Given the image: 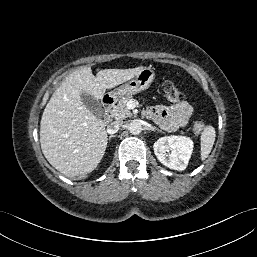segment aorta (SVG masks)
I'll list each match as a JSON object with an SVG mask.
<instances>
[{
	"label": "aorta",
	"mask_w": 257,
	"mask_h": 257,
	"mask_svg": "<svg viewBox=\"0 0 257 257\" xmlns=\"http://www.w3.org/2000/svg\"><path fill=\"white\" fill-rule=\"evenodd\" d=\"M128 129H129L130 133L137 135V134L141 133L142 125L138 120H133L130 122Z\"/></svg>",
	"instance_id": "aorta-1"
}]
</instances>
